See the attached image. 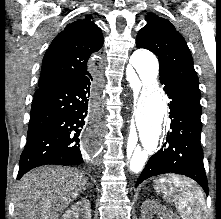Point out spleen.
<instances>
[{"instance_id": "1", "label": "spleen", "mask_w": 221, "mask_h": 219, "mask_svg": "<svg viewBox=\"0 0 221 219\" xmlns=\"http://www.w3.org/2000/svg\"><path fill=\"white\" fill-rule=\"evenodd\" d=\"M155 189L173 200L182 219H206L207 207L202 190L190 179L177 175L155 180Z\"/></svg>"}]
</instances>
